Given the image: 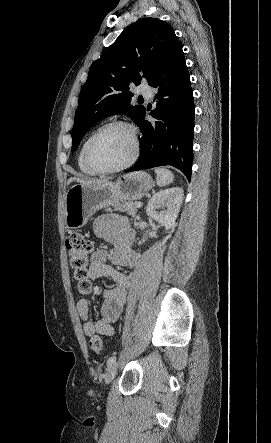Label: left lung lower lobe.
I'll return each mask as SVG.
<instances>
[{
  "mask_svg": "<svg viewBox=\"0 0 271 443\" xmlns=\"http://www.w3.org/2000/svg\"><path fill=\"white\" fill-rule=\"evenodd\" d=\"M157 88V107L150 115L158 121L144 120L138 125L140 156L126 172L171 165L191 179L195 107L190 76L182 46H176L148 80Z\"/></svg>",
  "mask_w": 271,
  "mask_h": 443,
  "instance_id": "0a47b994",
  "label": "left lung lower lobe"
}]
</instances>
